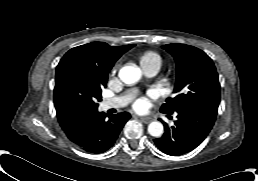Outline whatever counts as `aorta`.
<instances>
[{"mask_svg":"<svg viewBox=\"0 0 258 181\" xmlns=\"http://www.w3.org/2000/svg\"><path fill=\"white\" fill-rule=\"evenodd\" d=\"M118 75L122 82L131 85L137 83L140 80L142 73L137 66L125 65L119 70ZM163 131L164 127L159 121L151 122L148 125V133L151 136L160 137L163 134Z\"/></svg>","mask_w":258,"mask_h":181,"instance_id":"762f6f07","label":"aorta"}]
</instances>
